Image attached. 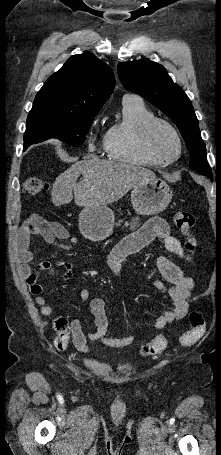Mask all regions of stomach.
<instances>
[{"mask_svg":"<svg viewBox=\"0 0 221 455\" xmlns=\"http://www.w3.org/2000/svg\"><path fill=\"white\" fill-rule=\"evenodd\" d=\"M172 199L169 185L152 177L139 182L131 191V203L136 213L153 215L166 209ZM114 213L106 205L85 207L79 214V229L90 241L100 242L113 232Z\"/></svg>","mask_w":221,"mask_h":455,"instance_id":"stomach-1","label":"stomach"}]
</instances>
